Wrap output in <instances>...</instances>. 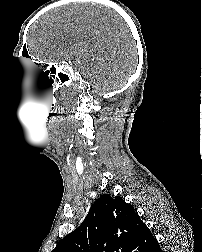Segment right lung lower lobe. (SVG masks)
I'll list each match as a JSON object with an SVG mask.
<instances>
[{"mask_svg": "<svg viewBox=\"0 0 202 252\" xmlns=\"http://www.w3.org/2000/svg\"><path fill=\"white\" fill-rule=\"evenodd\" d=\"M152 252H162V250H161L159 244H157V245L154 247V249L152 250Z\"/></svg>", "mask_w": 202, "mask_h": 252, "instance_id": "98d812e1", "label": "right lung lower lobe"}]
</instances>
